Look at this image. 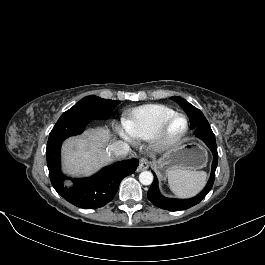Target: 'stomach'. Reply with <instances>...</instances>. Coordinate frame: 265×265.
Masks as SVG:
<instances>
[{"mask_svg":"<svg viewBox=\"0 0 265 265\" xmlns=\"http://www.w3.org/2000/svg\"><path fill=\"white\" fill-rule=\"evenodd\" d=\"M206 148L197 142H188L167 153L158 163L161 174L173 169L197 170L206 166Z\"/></svg>","mask_w":265,"mask_h":265,"instance_id":"obj_1","label":"stomach"}]
</instances>
